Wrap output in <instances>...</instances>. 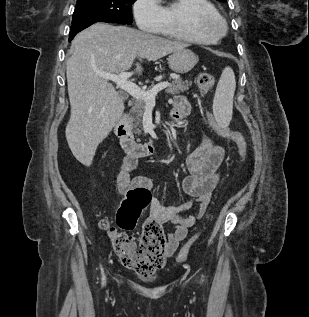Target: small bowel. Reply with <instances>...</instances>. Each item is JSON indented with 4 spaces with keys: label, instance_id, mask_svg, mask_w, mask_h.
I'll return each instance as SVG.
<instances>
[{
    "label": "small bowel",
    "instance_id": "c3829d8e",
    "mask_svg": "<svg viewBox=\"0 0 309 317\" xmlns=\"http://www.w3.org/2000/svg\"><path fill=\"white\" fill-rule=\"evenodd\" d=\"M190 113V104L186 97L176 96L173 100L171 115L180 120ZM224 158L222 146L214 144L207 136L202 138L199 147L187 158L186 166L188 175L182 181V187L186 194L194 200L173 206L162 205L156 195L151 196L149 203L150 220L159 223H171L174 226L168 234L165 249L166 256H172L197 220L201 219L211 201L212 193L220 179V168ZM138 159L126 156L120 166L117 175V187L121 194H127L133 189L152 190V181L145 176H132L137 167ZM196 207L194 213L185 216L184 213Z\"/></svg>",
    "mask_w": 309,
    "mask_h": 317
}]
</instances>
